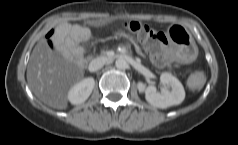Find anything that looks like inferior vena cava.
Listing matches in <instances>:
<instances>
[{"instance_id": "602c4592", "label": "inferior vena cava", "mask_w": 238, "mask_h": 145, "mask_svg": "<svg viewBox=\"0 0 238 145\" xmlns=\"http://www.w3.org/2000/svg\"><path fill=\"white\" fill-rule=\"evenodd\" d=\"M107 63L105 57H97L89 63V70L94 72L102 68Z\"/></svg>"}]
</instances>
